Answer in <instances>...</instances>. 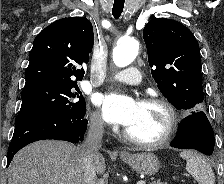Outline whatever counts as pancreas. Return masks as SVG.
Wrapping results in <instances>:
<instances>
[{
	"label": "pancreas",
	"instance_id": "pancreas-1",
	"mask_svg": "<svg viewBox=\"0 0 224 184\" xmlns=\"http://www.w3.org/2000/svg\"><path fill=\"white\" fill-rule=\"evenodd\" d=\"M151 184H165V183H162V182L157 181V182H153Z\"/></svg>",
	"mask_w": 224,
	"mask_h": 184
}]
</instances>
